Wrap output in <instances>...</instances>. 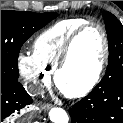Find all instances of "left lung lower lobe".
Listing matches in <instances>:
<instances>
[{
    "mask_svg": "<svg viewBox=\"0 0 123 123\" xmlns=\"http://www.w3.org/2000/svg\"><path fill=\"white\" fill-rule=\"evenodd\" d=\"M71 123H123V80L98 85L69 109Z\"/></svg>",
    "mask_w": 123,
    "mask_h": 123,
    "instance_id": "obj_1",
    "label": "left lung lower lobe"
}]
</instances>
